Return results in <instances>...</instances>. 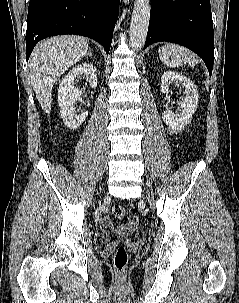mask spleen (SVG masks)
<instances>
[{"label": "spleen", "mask_w": 239, "mask_h": 303, "mask_svg": "<svg viewBox=\"0 0 239 303\" xmlns=\"http://www.w3.org/2000/svg\"><path fill=\"white\" fill-rule=\"evenodd\" d=\"M158 53L162 63L168 67L174 68L183 64L195 67L198 63V58L189 49L173 43L165 44L159 48Z\"/></svg>", "instance_id": "3e777b00"}]
</instances>
